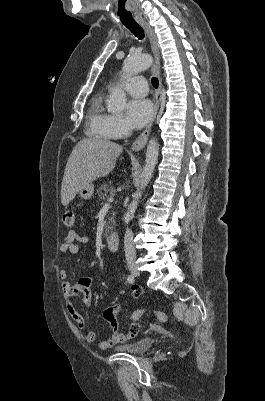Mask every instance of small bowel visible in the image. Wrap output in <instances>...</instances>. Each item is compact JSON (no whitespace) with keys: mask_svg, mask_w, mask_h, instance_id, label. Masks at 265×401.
Instances as JSON below:
<instances>
[{"mask_svg":"<svg viewBox=\"0 0 265 401\" xmlns=\"http://www.w3.org/2000/svg\"><path fill=\"white\" fill-rule=\"evenodd\" d=\"M88 242L89 238L87 236H83L76 231H70L63 243L60 245L59 250L62 253L75 254L79 251L80 244H85ZM60 278L62 281V292L67 310L77 327L85 333V337L90 344H93L102 350H106L114 347L115 345L124 344L130 339L127 333H122L119 331L117 315L121 310L120 305L112 304L103 312L104 319L108 322L112 329V335L106 340H98L96 333L87 327L84 316L77 310L74 303L75 297L80 295L82 305L86 309L91 308V284L93 278L84 277L79 281L72 283L67 280V271L64 269L60 271ZM131 291L134 298H138L141 295V289L138 286H132Z\"/></svg>","mask_w":265,"mask_h":401,"instance_id":"obj_1","label":"small bowel"}]
</instances>
